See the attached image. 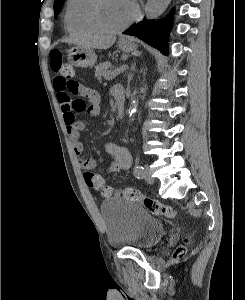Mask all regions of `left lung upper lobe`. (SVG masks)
Listing matches in <instances>:
<instances>
[{"label": "left lung upper lobe", "instance_id": "1", "mask_svg": "<svg viewBox=\"0 0 245 300\" xmlns=\"http://www.w3.org/2000/svg\"><path fill=\"white\" fill-rule=\"evenodd\" d=\"M63 2H64V0H55V2H54L55 16H57L59 14Z\"/></svg>", "mask_w": 245, "mask_h": 300}]
</instances>
